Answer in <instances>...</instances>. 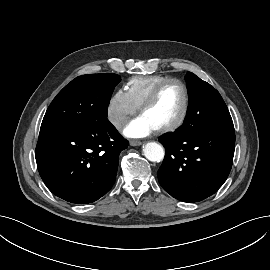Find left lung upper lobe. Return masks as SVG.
I'll return each mask as SVG.
<instances>
[{"instance_id": "1", "label": "left lung upper lobe", "mask_w": 270, "mask_h": 270, "mask_svg": "<svg viewBox=\"0 0 270 270\" xmlns=\"http://www.w3.org/2000/svg\"><path fill=\"white\" fill-rule=\"evenodd\" d=\"M185 80L189 96L185 121L202 128L234 127L227 106L214 87L191 72Z\"/></svg>"}]
</instances>
